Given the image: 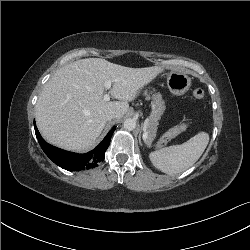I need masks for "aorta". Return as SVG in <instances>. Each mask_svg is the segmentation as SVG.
<instances>
[{"label": "aorta", "instance_id": "obj_1", "mask_svg": "<svg viewBox=\"0 0 250 250\" xmlns=\"http://www.w3.org/2000/svg\"><path fill=\"white\" fill-rule=\"evenodd\" d=\"M123 127L125 130H128V131H132L135 129L136 127V121L135 119H132V118H128L124 121L123 123Z\"/></svg>", "mask_w": 250, "mask_h": 250}]
</instances>
